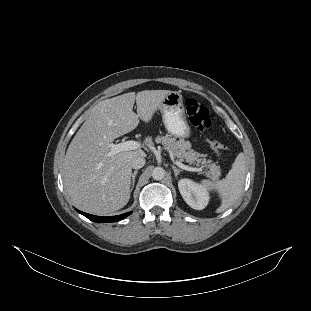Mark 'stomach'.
I'll list each match as a JSON object with an SVG mask.
<instances>
[{"label":"stomach","instance_id":"0dacf381","mask_svg":"<svg viewBox=\"0 0 311 311\" xmlns=\"http://www.w3.org/2000/svg\"><path fill=\"white\" fill-rule=\"evenodd\" d=\"M162 121L167 133L174 138L188 140L192 135V128L187 121L184 101L181 93L173 91L160 107Z\"/></svg>","mask_w":311,"mask_h":311}]
</instances>
